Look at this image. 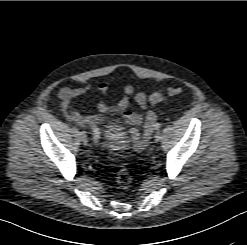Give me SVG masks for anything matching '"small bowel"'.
<instances>
[{
  "label": "small bowel",
  "instance_id": "small-bowel-1",
  "mask_svg": "<svg viewBox=\"0 0 247 245\" xmlns=\"http://www.w3.org/2000/svg\"><path fill=\"white\" fill-rule=\"evenodd\" d=\"M93 89L102 98L108 93L109 86L107 83L101 82L96 85L86 84L77 88L65 85L60 89V109L65 118L80 127L91 124L97 126L103 124L113 112L121 111L123 112L120 119L121 123L136 126L142 125L144 129V133L141 137L136 129H131L127 132V136L132 143L133 149L141 150L145 148L151 139L153 126L157 119L156 113L148 108L149 101L147 95L144 92H137L134 94L135 89L133 85L127 84L124 87L123 96L117 106L110 107L100 99L97 106L98 114L83 116L74 108L73 102ZM133 95L136 103L141 109V112L139 113L125 111L130 103V98Z\"/></svg>",
  "mask_w": 247,
  "mask_h": 245
}]
</instances>
